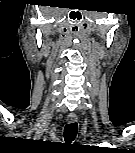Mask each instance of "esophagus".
I'll return each instance as SVG.
<instances>
[{"label": "esophagus", "mask_w": 135, "mask_h": 153, "mask_svg": "<svg viewBox=\"0 0 135 153\" xmlns=\"http://www.w3.org/2000/svg\"><path fill=\"white\" fill-rule=\"evenodd\" d=\"M67 120L69 123H74L77 121V116L75 114H69Z\"/></svg>", "instance_id": "34e87169"}]
</instances>
